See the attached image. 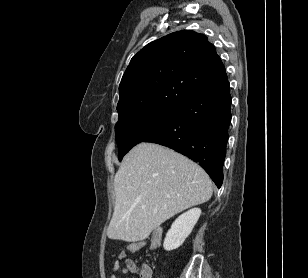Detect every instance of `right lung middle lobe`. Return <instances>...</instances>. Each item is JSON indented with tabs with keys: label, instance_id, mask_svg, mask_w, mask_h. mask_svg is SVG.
<instances>
[{
	"label": "right lung middle lobe",
	"instance_id": "1",
	"mask_svg": "<svg viewBox=\"0 0 308 278\" xmlns=\"http://www.w3.org/2000/svg\"><path fill=\"white\" fill-rule=\"evenodd\" d=\"M177 114L178 108L158 107L142 110L119 120L115 125L119 160L121 161L133 146L170 123Z\"/></svg>",
	"mask_w": 308,
	"mask_h": 278
}]
</instances>
